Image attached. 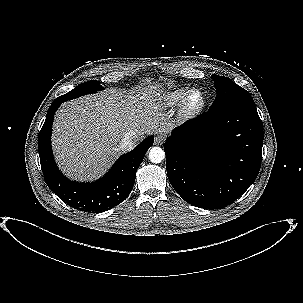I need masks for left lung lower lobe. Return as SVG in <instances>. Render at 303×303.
I'll use <instances>...</instances> for the list:
<instances>
[{"instance_id":"1","label":"left lung lower lobe","mask_w":303,"mask_h":303,"mask_svg":"<svg viewBox=\"0 0 303 303\" xmlns=\"http://www.w3.org/2000/svg\"><path fill=\"white\" fill-rule=\"evenodd\" d=\"M263 124L256 106L205 112L166 139V169L175 191L199 208L221 209L255 181Z\"/></svg>"}]
</instances>
